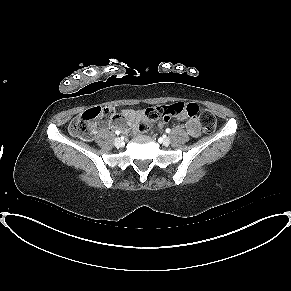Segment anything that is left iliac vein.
<instances>
[{"mask_svg":"<svg viewBox=\"0 0 291 291\" xmlns=\"http://www.w3.org/2000/svg\"><path fill=\"white\" fill-rule=\"evenodd\" d=\"M161 143L165 146H168L171 143L170 138L168 137L162 138Z\"/></svg>","mask_w":291,"mask_h":291,"instance_id":"1","label":"left iliac vein"}]
</instances>
